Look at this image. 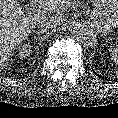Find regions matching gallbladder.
<instances>
[{
    "instance_id": "1",
    "label": "gallbladder",
    "mask_w": 118,
    "mask_h": 118,
    "mask_svg": "<svg viewBox=\"0 0 118 118\" xmlns=\"http://www.w3.org/2000/svg\"><path fill=\"white\" fill-rule=\"evenodd\" d=\"M20 1H23V0H20ZM30 7V5H26V6H24V10H27L28 8Z\"/></svg>"
}]
</instances>
